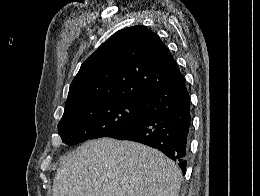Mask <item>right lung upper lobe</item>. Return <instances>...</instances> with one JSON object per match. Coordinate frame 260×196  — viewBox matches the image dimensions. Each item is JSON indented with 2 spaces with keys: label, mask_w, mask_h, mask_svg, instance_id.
Here are the masks:
<instances>
[{
  "label": "right lung upper lobe",
  "mask_w": 260,
  "mask_h": 196,
  "mask_svg": "<svg viewBox=\"0 0 260 196\" xmlns=\"http://www.w3.org/2000/svg\"><path fill=\"white\" fill-rule=\"evenodd\" d=\"M182 76L166 45L143 25L117 31L82 65L65 107L109 96L140 100Z\"/></svg>",
  "instance_id": "cb5924a9"
}]
</instances>
